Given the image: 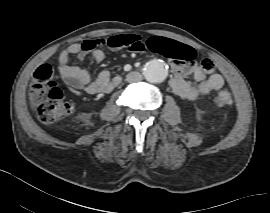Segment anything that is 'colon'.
Instances as JSON below:
<instances>
[{"mask_svg":"<svg viewBox=\"0 0 270 213\" xmlns=\"http://www.w3.org/2000/svg\"><path fill=\"white\" fill-rule=\"evenodd\" d=\"M127 39L132 43L133 49L136 42L142 46L141 40L134 35H129ZM148 43L159 50L161 55L177 50V46L155 38L150 39ZM201 65L207 72L212 69L211 62L208 59H203ZM56 79L52 67L46 63L40 65L34 75L32 95L37 107L38 118L44 123L60 121L73 110L72 102L65 99ZM231 100L232 93L229 87H223L213 96V104L219 108L230 105Z\"/></svg>","mask_w":270,"mask_h":213,"instance_id":"1","label":"colon"}]
</instances>
